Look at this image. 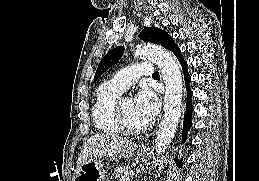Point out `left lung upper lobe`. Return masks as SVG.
<instances>
[{
	"mask_svg": "<svg viewBox=\"0 0 259 181\" xmlns=\"http://www.w3.org/2000/svg\"><path fill=\"white\" fill-rule=\"evenodd\" d=\"M139 38L145 42H151L170 49L175 44L172 37L162 29L155 27H147L143 29ZM124 52V47L119 46L109 51L101 60L94 76V82L109 69L112 65L119 61Z\"/></svg>",
	"mask_w": 259,
	"mask_h": 181,
	"instance_id": "obj_1",
	"label": "left lung upper lobe"
}]
</instances>
